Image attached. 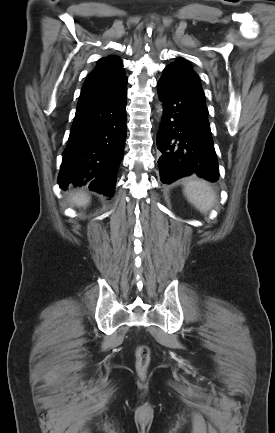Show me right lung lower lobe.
<instances>
[{
    "label": "right lung lower lobe",
    "mask_w": 275,
    "mask_h": 433,
    "mask_svg": "<svg viewBox=\"0 0 275 433\" xmlns=\"http://www.w3.org/2000/svg\"><path fill=\"white\" fill-rule=\"evenodd\" d=\"M126 85L79 98L58 177L63 190L88 184L112 196L126 139Z\"/></svg>",
    "instance_id": "98d812e1"
}]
</instances>
